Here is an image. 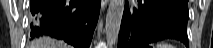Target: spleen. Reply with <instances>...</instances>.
Listing matches in <instances>:
<instances>
[{"label":"spleen","instance_id":"1","mask_svg":"<svg viewBox=\"0 0 213 48\" xmlns=\"http://www.w3.org/2000/svg\"><path fill=\"white\" fill-rule=\"evenodd\" d=\"M156 48H176V47L170 43L162 42L157 44Z\"/></svg>","mask_w":213,"mask_h":48}]
</instances>
